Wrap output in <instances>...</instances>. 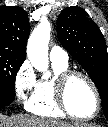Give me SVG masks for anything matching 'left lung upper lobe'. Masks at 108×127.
Here are the masks:
<instances>
[{"label":"left lung upper lobe","mask_w":108,"mask_h":127,"mask_svg":"<svg viewBox=\"0 0 108 127\" xmlns=\"http://www.w3.org/2000/svg\"><path fill=\"white\" fill-rule=\"evenodd\" d=\"M57 35L97 86L108 118V53L100 29L87 17L85 10L68 7L58 16Z\"/></svg>","instance_id":"obj_1"}]
</instances>
